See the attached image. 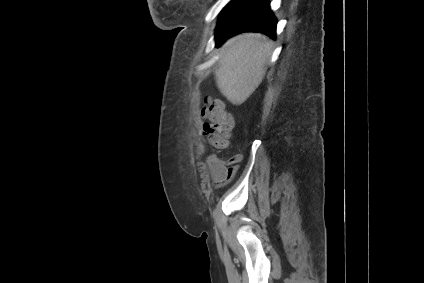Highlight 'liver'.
Here are the masks:
<instances>
[{
  "mask_svg": "<svg viewBox=\"0 0 424 283\" xmlns=\"http://www.w3.org/2000/svg\"><path fill=\"white\" fill-rule=\"evenodd\" d=\"M272 47L260 33L241 34L223 45L216 83L233 104H242L260 85Z\"/></svg>",
  "mask_w": 424,
  "mask_h": 283,
  "instance_id": "6515ba94",
  "label": "liver"
}]
</instances>
